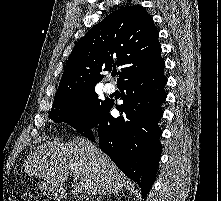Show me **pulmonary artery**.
Listing matches in <instances>:
<instances>
[{
  "label": "pulmonary artery",
  "instance_id": "pulmonary-artery-1",
  "mask_svg": "<svg viewBox=\"0 0 221 201\" xmlns=\"http://www.w3.org/2000/svg\"><path fill=\"white\" fill-rule=\"evenodd\" d=\"M104 90H105L107 93H113L114 90H115V87H114L113 84L107 83V84H105V86H104Z\"/></svg>",
  "mask_w": 221,
  "mask_h": 201
}]
</instances>
